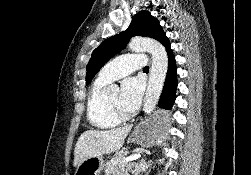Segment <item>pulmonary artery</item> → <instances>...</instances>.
<instances>
[{
	"label": "pulmonary artery",
	"mask_w": 251,
	"mask_h": 175,
	"mask_svg": "<svg viewBox=\"0 0 251 175\" xmlns=\"http://www.w3.org/2000/svg\"><path fill=\"white\" fill-rule=\"evenodd\" d=\"M147 55L143 52H127L126 55H119L114 58V62H106L98 74V79L104 82H112L122 76H130L133 70H139V67H145Z\"/></svg>",
	"instance_id": "obj_1"
}]
</instances>
